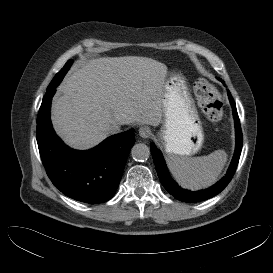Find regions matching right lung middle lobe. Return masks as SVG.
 I'll return each mask as SVG.
<instances>
[{
    "mask_svg": "<svg viewBox=\"0 0 273 273\" xmlns=\"http://www.w3.org/2000/svg\"><path fill=\"white\" fill-rule=\"evenodd\" d=\"M72 64V60H69L65 66L55 75L51 83L49 84L47 88V92H51L56 89V87L59 85V83L62 81L63 77L69 70L70 66Z\"/></svg>",
    "mask_w": 273,
    "mask_h": 273,
    "instance_id": "right-lung-middle-lobe-1",
    "label": "right lung middle lobe"
}]
</instances>
